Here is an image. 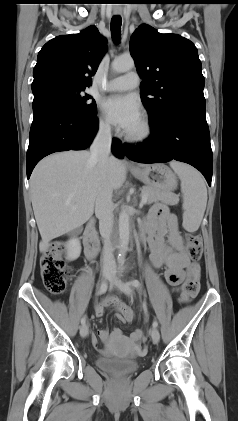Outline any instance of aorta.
Returning <instances> with one entry per match:
<instances>
[{"label": "aorta", "mask_w": 238, "mask_h": 421, "mask_svg": "<svg viewBox=\"0 0 238 421\" xmlns=\"http://www.w3.org/2000/svg\"><path fill=\"white\" fill-rule=\"evenodd\" d=\"M111 67L117 73L127 72L135 67L134 60L131 57L115 59ZM130 225L129 214L126 209H122L119 214V239H120V252L124 256L129 244Z\"/></svg>", "instance_id": "obj_1"}]
</instances>
